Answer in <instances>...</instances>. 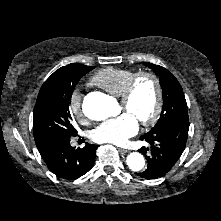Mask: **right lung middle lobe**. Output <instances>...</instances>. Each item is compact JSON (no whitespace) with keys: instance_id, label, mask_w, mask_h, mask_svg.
Masks as SVG:
<instances>
[{"instance_id":"dd1d6c3e","label":"right lung middle lobe","mask_w":221,"mask_h":221,"mask_svg":"<svg viewBox=\"0 0 221 221\" xmlns=\"http://www.w3.org/2000/svg\"><path fill=\"white\" fill-rule=\"evenodd\" d=\"M93 66L72 63L56 70L42 85L33 112L35 142L49 138L77 135L69 109L78 81Z\"/></svg>"}]
</instances>
